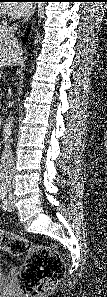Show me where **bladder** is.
Instances as JSON below:
<instances>
[{
	"mask_svg": "<svg viewBox=\"0 0 107 297\" xmlns=\"http://www.w3.org/2000/svg\"><path fill=\"white\" fill-rule=\"evenodd\" d=\"M5 277L4 273L2 272V270L0 269V280H3Z\"/></svg>",
	"mask_w": 107,
	"mask_h": 297,
	"instance_id": "bladder-1",
	"label": "bladder"
}]
</instances>
